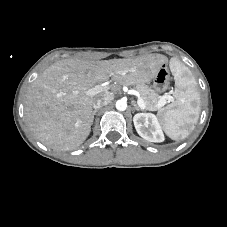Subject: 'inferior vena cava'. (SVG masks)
I'll list each match as a JSON object with an SVG mask.
<instances>
[{
	"label": "inferior vena cava",
	"mask_w": 227,
	"mask_h": 227,
	"mask_svg": "<svg viewBox=\"0 0 227 227\" xmlns=\"http://www.w3.org/2000/svg\"><path fill=\"white\" fill-rule=\"evenodd\" d=\"M114 96L112 93L108 92L103 97L99 98L94 104V109H99L102 106L109 104L113 100Z\"/></svg>",
	"instance_id": "602c4592"
}]
</instances>
